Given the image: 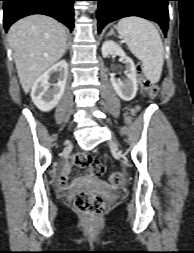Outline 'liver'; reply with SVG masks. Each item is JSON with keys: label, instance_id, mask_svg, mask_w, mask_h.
Returning a JSON list of instances; mask_svg holds the SVG:
<instances>
[{"label": "liver", "instance_id": "6515ba94", "mask_svg": "<svg viewBox=\"0 0 194 253\" xmlns=\"http://www.w3.org/2000/svg\"><path fill=\"white\" fill-rule=\"evenodd\" d=\"M21 86L28 93L34 82L65 53L66 28L45 15H31L8 32Z\"/></svg>", "mask_w": 194, "mask_h": 253}]
</instances>
